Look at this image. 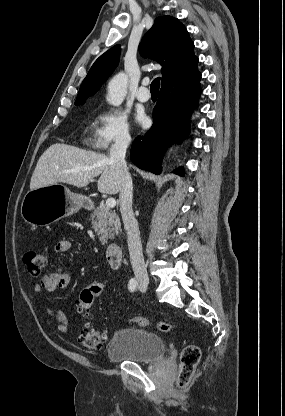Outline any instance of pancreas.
<instances>
[{"label":"pancreas","instance_id":"cf45deb5","mask_svg":"<svg viewBox=\"0 0 285 416\" xmlns=\"http://www.w3.org/2000/svg\"><path fill=\"white\" fill-rule=\"evenodd\" d=\"M92 226L99 236L101 244H107L109 238H114L115 234L120 230V220L113 210L107 206H100L96 208L95 212L91 214Z\"/></svg>","mask_w":285,"mask_h":416}]
</instances>
